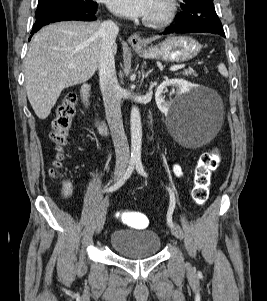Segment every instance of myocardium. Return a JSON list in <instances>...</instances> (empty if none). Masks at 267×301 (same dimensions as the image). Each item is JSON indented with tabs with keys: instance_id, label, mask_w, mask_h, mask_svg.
<instances>
[{
	"instance_id": "1",
	"label": "myocardium",
	"mask_w": 267,
	"mask_h": 301,
	"mask_svg": "<svg viewBox=\"0 0 267 301\" xmlns=\"http://www.w3.org/2000/svg\"><path fill=\"white\" fill-rule=\"evenodd\" d=\"M160 10L153 16H147L144 23L149 26H165L171 23L179 11L178 0H156Z\"/></svg>"
}]
</instances>
